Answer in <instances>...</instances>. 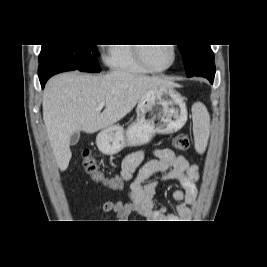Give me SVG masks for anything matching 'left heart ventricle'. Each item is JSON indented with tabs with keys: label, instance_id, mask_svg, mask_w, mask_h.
I'll return each mask as SVG.
<instances>
[{
	"label": "left heart ventricle",
	"instance_id": "left-heart-ventricle-1",
	"mask_svg": "<svg viewBox=\"0 0 267 267\" xmlns=\"http://www.w3.org/2000/svg\"><path fill=\"white\" fill-rule=\"evenodd\" d=\"M144 52L147 61L156 68L166 67L173 58L171 46L168 44L147 46Z\"/></svg>",
	"mask_w": 267,
	"mask_h": 267
}]
</instances>
